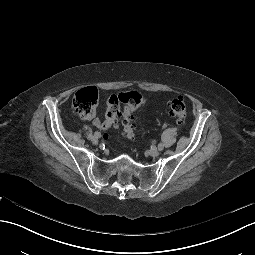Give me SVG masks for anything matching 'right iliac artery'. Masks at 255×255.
Wrapping results in <instances>:
<instances>
[{
	"label": "right iliac artery",
	"mask_w": 255,
	"mask_h": 255,
	"mask_svg": "<svg viewBox=\"0 0 255 255\" xmlns=\"http://www.w3.org/2000/svg\"><path fill=\"white\" fill-rule=\"evenodd\" d=\"M94 136H96V137H100L101 136V134H100V132H98V131H96L95 133H94Z\"/></svg>",
	"instance_id": "right-iliac-artery-1"
}]
</instances>
